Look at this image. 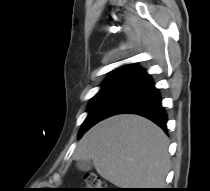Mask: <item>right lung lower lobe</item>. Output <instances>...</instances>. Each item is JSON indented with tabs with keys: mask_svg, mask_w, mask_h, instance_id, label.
I'll use <instances>...</instances> for the list:
<instances>
[{
	"mask_svg": "<svg viewBox=\"0 0 210 191\" xmlns=\"http://www.w3.org/2000/svg\"><path fill=\"white\" fill-rule=\"evenodd\" d=\"M154 85L153 79L142 68L127 65L100 106L95 124L116 114L131 113L144 116L167 131V114L161 105L159 90Z\"/></svg>",
	"mask_w": 210,
	"mask_h": 191,
	"instance_id": "right-lung-lower-lobe-1",
	"label": "right lung lower lobe"
}]
</instances>
